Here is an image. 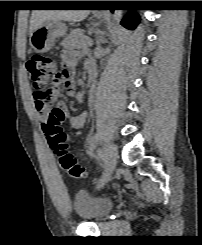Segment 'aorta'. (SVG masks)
Returning <instances> with one entry per match:
<instances>
[{
  "mask_svg": "<svg viewBox=\"0 0 202 245\" xmlns=\"http://www.w3.org/2000/svg\"><path fill=\"white\" fill-rule=\"evenodd\" d=\"M122 18V11L121 10H115L113 14V23L118 24Z\"/></svg>",
  "mask_w": 202,
  "mask_h": 245,
  "instance_id": "aorta-1",
  "label": "aorta"
}]
</instances>
